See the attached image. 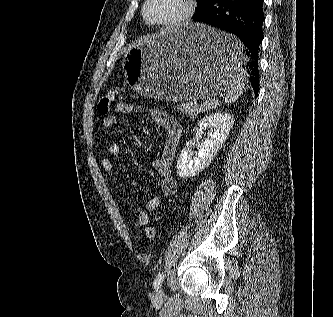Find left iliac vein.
I'll list each match as a JSON object with an SVG mask.
<instances>
[{"label": "left iliac vein", "mask_w": 333, "mask_h": 317, "mask_svg": "<svg viewBox=\"0 0 333 317\" xmlns=\"http://www.w3.org/2000/svg\"><path fill=\"white\" fill-rule=\"evenodd\" d=\"M164 296V292L162 289H156L155 291V298L157 299H161Z\"/></svg>", "instance_id": "obj_1"}]
</instances>
